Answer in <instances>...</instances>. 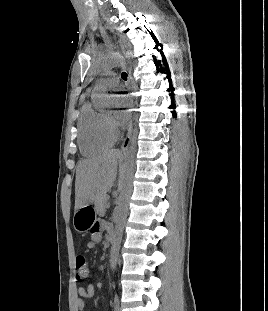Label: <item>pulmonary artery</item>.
<instances>
[{"mask_svg":"<svg viewBox=\"0 0 268 311\" xmlns=\"http://www.w3.org/2000/svg\"><path fill=\"white\" fill-rule=\"evenodd\" d=\"M119 79L114 73H107L105 78L97 80L96 86L99 88H112L117 86Z\"/></svg>","mask_w":268,"mask_h":311,"instance_id":"obj_1","label":"pulmonary artery"}]
</instances>
